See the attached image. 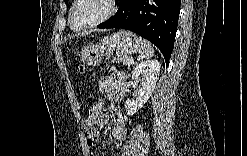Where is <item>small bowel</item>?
<instances>
[{"label":"small bowel","instance_id":"1","mask_svg":"<svg viewBox=\"0 0 247 156\" xmlns=\"http://www.w3.org/2000/svg\"><path fill=\"white\" fill-rule=\"evenodd\" d=\"M99 88L106 99L115 100L117 96L124 94L125 78L121 73H113L101 79ZM90 107H93V104L89 106L88 110H90ZM100 113H102V118H100V120L97 121V124L92 125L104 126L109 122L111 117L114 121V124L111 129L112 137L117 145H121L127 135V127L122 113L115 106L112 108L111 115L105 113V106H102ZM86 119L83 124V133L85 137L86 150L90 156H93V146L94 143L99 140V138L96 135L95 130H90V126L86 124Z\"/></svg>","mask_w":247,"mask_h":156}]
</instances>
